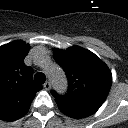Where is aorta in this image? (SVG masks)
<instances>
[{
    "label": "aorta",
    "instance_id": "1",
    "mask_svg": "<svg viewBox=\"0 0 128 128\" xmlns=\"http://www.w3.org/2000/svg\"><path fill=\"white\" fill-rule=\"evenodd\" d=\"M47 67V73L53 88L59 94H64L68 88V81L64 71L56 64H48Z\"/></svg>",
    "mask_w": 128,
    "mask_h": 128
}]
</instances>
